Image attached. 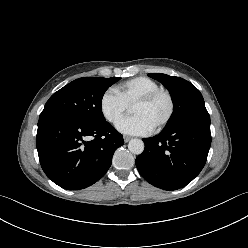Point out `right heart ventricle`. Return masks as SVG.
I'll return each mask as SVG.
<instances>
[{
  "label": "right heart ventricle",
  "mask_w": 248,
  "mask_h": 248,
  "mask_svg": "<svg viewBox=\"0 0 248 248\" xmlns=\"http://www.w3.org/2000/svg\"><path fill=\"white\" fill-rule=\"evenodd\" d=\"M160 89V85L144 76L129 79L115 87V92L128 105L132 106L142 96Z\"/></svg>",
  "instance_id": "1"
}]
</instances>
